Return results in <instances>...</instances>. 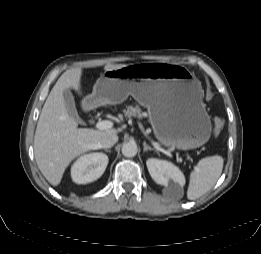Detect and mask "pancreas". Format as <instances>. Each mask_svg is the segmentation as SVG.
Segmentation results:
<instances>
[{
	"instance_id": "obj_1",
	"label": "pancreas",
	"mask_w": 261,
	"mask_h": 254,
	"mask_svg": "<svg viewBox=\"0 0 261 254\" xmlns=\"http://www.w3.org/2000/svg\"><path fill=\"white\" fill-rule=\"evenodd\" d=\"M125 116L130 118V117H135L137 116L138 118L143 117V113L139 107H132L128 106L127 110H124Z\"/></svg>"
}]
</instances>
